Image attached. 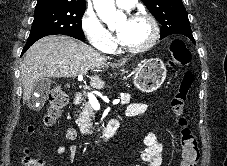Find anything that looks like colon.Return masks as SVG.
I'll return each mask as SVG.
<instances>
[{
	"label": "colon",
	"mask_w": 227,
	"mask_h": 166,
	"mask_svg": "<svg viewBox=\"0 0 227 166\" xmlns=\"http://www.w3.org/2000/svg\"><path fill=\"white\" fill-rule=\"evenodd\" d=\"M172 66L186 65L191 58V52L185 42L175 39L170 44ZM194 77L191 72H185L180 79L179 85L171 99V111L176 118L180 128V154L181 160L178 166H197L199 159V149L197 139L189 129L185 116V103L188 92L193 84ZM68 103V95L61 87H54L50 90L47 113L43 119L44 126H52L60 116L63 108ZM30 132L35 131L34 126H29ZM23 166H44V162L38 156L26 153L23 158Z\"/></svg>",
	"instance_id": "obj_1"
}]
</instances>
